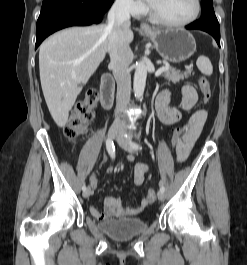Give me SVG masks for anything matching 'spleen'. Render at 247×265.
Returning a JSON list of instances; mask_svg holds the SVG:
<instances>
[{"label": "spleen", "mask_w": 247, "mask_h": 265, "mask_svg": "<svg viewBox=\"0 0 247 265\" xmlns=\"http://www.w3.org/2000/svg\"><path fill=\"white\" fill-rule=\"evenodd\" d=\"M196 64L201 73L207 76H210L213 73V67L208 57L204 55L198 57Z\"/></svg>", "instance_id": "obj_1"}]
</instances>
